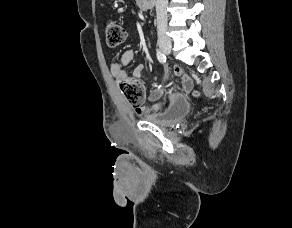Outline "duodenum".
<instances>
[{"instance_id":"obj_1","label":"duodenum","mask_w":292,"mask_h":228,"mask_svg":"<svg viewBox=\"0 0 292 228\" xmlns=\"http://www.w3.org/2000/svg\"><path fill=\"white\" fill-rule=\"evenodd\" d=\"M138 5L143 10H148L153 7L154 0H138Z\"/></svg>"}]
</instances>
